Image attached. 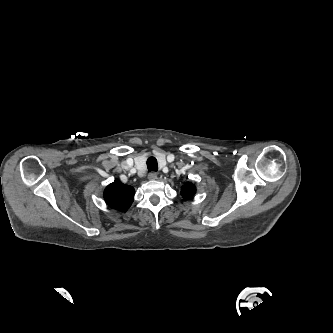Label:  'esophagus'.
I'll return each instance as SVG.
<instances>
[{
    "label": "esophagus",
    "instance_id": "obj_1",
    "mask_svg": "<svg viewBox=\"0 0 333 333\" xmlns=\"http://www.w3.org/2000/svg\"><path fill=\"white\" fill-rule=\"evenodd\" d=\"M157 177H158V174L156 172H151L148 175V179H150V180H156Z\"/></svg>",
    "mask_w": 333,
    "mask_h": 333
}]
</instances>
